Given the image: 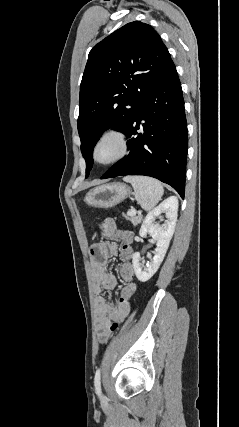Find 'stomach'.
<instances>
[{
	"instance_id": "1",
	"label": "stomach",
	"mask_w": 239,
	"mask_h": 427,
	"mask_svg": "<svg viewBox=\"0 0 239 427\" xmlns=\"http://www.w3.org/2000/svg\"><path fill=\"white\" fill-rule=\"evenodd\" d=\"M130 188L120 182L104 184L91 189L85 196V202L96 208H111L125 200Z\"/></svg>"
}]
</instances>
